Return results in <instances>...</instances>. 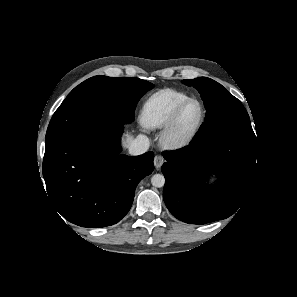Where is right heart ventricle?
<instances>
[{"instance_id": "right-heart-ventricle-1", "label": "right heart ventricle", "mask_w": 297, "mask_h": 297, "mask_svg": "<svg viewBox=\"0 0 297 297\" xmlns=\"http://www.w3.org/2000/svg\"><path fill=\"white\" fill-rule=\"evenodd\" d=\"M188 98L187 94L174 89H163L152 94L143 104L140 116L142 124L152 129L164 127L177 106Z\"/></svg>"}]
</instances>
